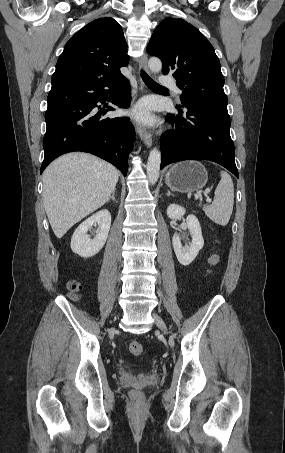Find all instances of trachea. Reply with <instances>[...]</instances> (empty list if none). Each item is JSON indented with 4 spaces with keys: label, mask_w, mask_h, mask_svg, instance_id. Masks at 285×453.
Here are the masks:
<instances>
[{
    "label": "trachea",
    "mask_w": 285,
    "mask_h": 453,
    "mask_svg": "<svg viewBox=\"0 0 285 453\" xmlns=\"http://www.w3.org/2000/svg\"><path fill=\"white\" fill-rule=\"evenodd\" d=\"M141 77L143 79V81L145 82V84L150 87V88H163V86L159 85L158 83H156L153 79H151L145 71H141Z\"/></svg>",
    "instance_id": "3493384b"
}]
</instances>
